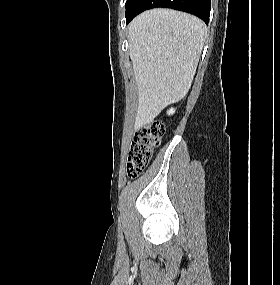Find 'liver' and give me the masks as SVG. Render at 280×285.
Returning a JSON list of instances; mask_svg holds the SVG:
<instances>
[{
    "instance_id": "1",
    "label": "liver",
    "mask_w": 280,
    "mask_h": 285,
    "mask_svg": "<svg viewBox=\"0 0 280 285\" xmlns=\"http://www.w3.org/2000/svg\"><path fill=\"white\" fill-rule=\"evenodd\" d=\"M206 31L197 17L162 8L145 11L130 23L129 53L138 89L135 128L188 93Z\"/></svg>"
}]
</instances>
